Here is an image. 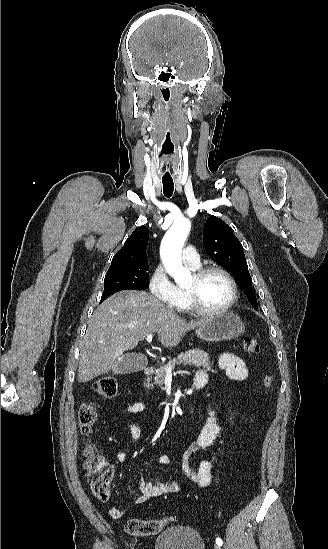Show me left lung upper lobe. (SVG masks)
I'll return each mask as SVG.
<instances>
[{
    "label": "left lung upper lobe",
    "mask_w": 328,
    "mask_h": 549,
    "mask_svg": "<svg viewBox=\"0 0 328 549\" xmlns=\"http://www.w3.org/2000/svg\"><path fill=\"white\" fill-rule=\"evenodd\" d=\"M203 242L206 251L236 277L251 303L257 308L243 247L232 229L223 220L210 215L205 224Z\"/></svg>",
    "instance_id": "obj_1"
}]
</instances>
